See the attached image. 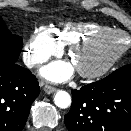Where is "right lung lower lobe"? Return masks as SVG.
<instances>
[{
	"mask_svg": "<svg viewBox=\"0 0 131 131\" xmlns=\"http://www.w3.org/2000/svg\"><path fill=\"white\" fill-rule=\"evenodd\" d=\"M39 91L28 69L16 62H0V131H22Z\"/></svg>",
	"mask_w": 131,
	"mask_h": 131,
	"instance_id": "right-lung-lower-lobe-1",
	"label": "right lung lower lobe"
}]
</instances>
